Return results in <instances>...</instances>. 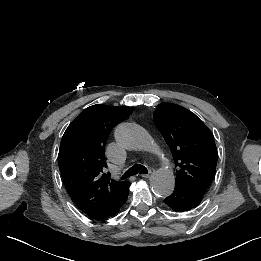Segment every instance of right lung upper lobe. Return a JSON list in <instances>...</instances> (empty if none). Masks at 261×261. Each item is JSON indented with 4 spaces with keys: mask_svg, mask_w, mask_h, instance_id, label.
<instances>
[{
    "mask_svg": "<svg viewBox=\"0 0 261 261\" xmlns=\"http://www.w3.org/2000/svg\"><path fill=\"white\" fill-rule=\"evenodd\" d=\"M131 107L96 104L86 108L66 129L58 163L65 187L87 216L94 217L118 203L130 183L110 180L104 148L114 126L131 115Z\"/></svg>",
    "mask_w": 261,
    "mask_h": 261,
    "instance_id": "cb5924a9",
    "label": "right lung upper lobe"
}]
</instances>
